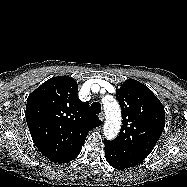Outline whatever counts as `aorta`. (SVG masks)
Listing matches in <instances>:
<instances>
[{"label":"aorta","mask_w":187,"mask_h":187,"mask_svg":"<svg viewBox=\"0 0 187 187\" xmlns=\"http://www.w3.org/2000/svg\"><path fill=\"white\" fill-rule=\"evenodd\" d=\"M106 121L104 124V136L114 139L121 128V110L116 100L111 98L104 102Z\"/></svg>","instance_id":"1"}]
</instances>
